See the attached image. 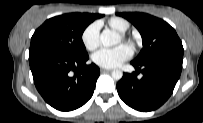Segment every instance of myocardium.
Instances as JSON below:
<instances>
[{
    "label": "myocardium",
    "mask_w": 203,
    "mask_h": 123,
    "mask_svg": "<svg viewBox=\"0 0 203 123\" xmlns=\"http://www.w3.org/2000/svg\"><path fill=\"white\" fill-rule=\"evenodd\" d=\"M123 37H124L125 39H127L125 36H123ZM127 40H128V42H129L130 44L133 43V40H132V39L128 38Z\"/></svg>",
    "instance_id": "1"
}]
</instances>
